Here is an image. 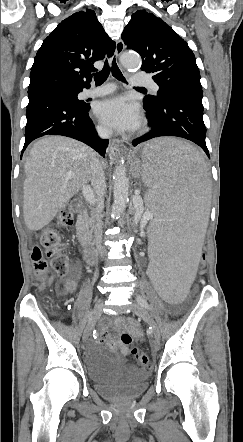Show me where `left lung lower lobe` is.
<instances>
[{
	"label": "left lung lower lobe",
	"mask_w": 243,
	"mask_h": 442,
	"mask_svg": "<svg viewBox=\"0 0 243 442\" xmlns=\"http://www.w3.org/2000/svg\"><path fill=\"white\" fill-rule=\"evenodd\" d=\"M202 93V86L195 84H179L169 88L159 107H144L151 130L133 140L132 145L135 147L156 137L177 136L196 143L210 158L205 143Z\"/></svg>",
	"instance_id": "left-lung-lower-lobe-1"
}]
</instances>
